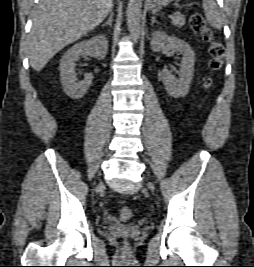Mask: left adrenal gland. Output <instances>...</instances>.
I'll use <instances>...</instances> for the list:
<instances>
[{
  "label": "left adrenal gland",
  "instance_id": "a2214340",
  "mask_svg": "<svg viewBox=\"0 0 254 267\" xmlns=\"http://www.w3.org/2000/svg\"><path fill=\"white\" fill-rule=\"evenodd\" d=\"M154 23H158V21L156 20L155 16H152L151 25H153Z\"/></svg>",
  "mask_w": 254,
  "mask_h": 267
}]
</instances>
